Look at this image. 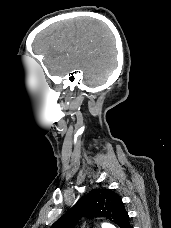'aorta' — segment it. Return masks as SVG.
<instances>
[{"label": "aorta", "mask_w": 171, "mask_h": 228, "mask_svg": "<svg viewBox=\"0 0 171 228\" xmlns=\"http://www.w3.org/2000/svg\"><path fill=\"white\" fill-rule=\"evenodd\" d=\"M102 228H115V227L110 223H103Z\"/></svg>", "instance_id": "762f6f07"}]
</instances>
